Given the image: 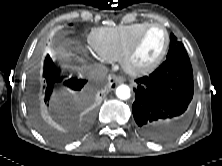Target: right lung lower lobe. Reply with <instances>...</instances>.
Returning <instances> with one entry per match:
<instances>
[{
    "label": "right lung lower lobe",
    "instance_id": "right-lung-lower-lobe-1",
    "mask_svg": "<svg viewBox=\"0 0 222 166\" xmlns=\"http://www.w3.org/2000/svg\"><path fill=\"white\" fill-rule=\"evenodd\" d=\"M42 76L44 84L41 90V99L42 103L49 105L53 103L51 100V95L53 93L54 87L57 83L62 82L63 80V77L59 75L58 70L56 69L49 55H47L45 58ZM85 83L86 80L77 78H70L63 81V85L70 89L68 90L70 94H78L84 87Z\"/></svg>",
    "mask_w": 222,
    "mask_h": 166
}]
</instances>
